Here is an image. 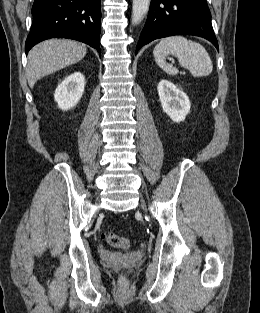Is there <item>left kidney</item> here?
Listing matches in <instances>:
<instances>
[{"label": "left kidney", "instance_id": "5707ae66", "mask_svg": "<svg viewBox=\"0 0 260 313\" xmlns=\"http://www.w3.org/2000/svg\"><path fill=\"white\" fill-rule=\"evenodd\" d=\"M163 111L174 121L181 122L190 112L188 96L170 81L162 79L157 86Z\"/></svg>", "mask_w": 260, "mask_h": 313}]
</instances>
